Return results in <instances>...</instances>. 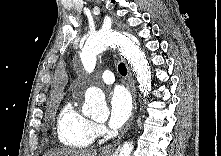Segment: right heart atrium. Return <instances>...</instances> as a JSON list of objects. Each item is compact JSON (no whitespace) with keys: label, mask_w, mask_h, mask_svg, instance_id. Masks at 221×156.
<instances>
[{"label":"right heart atrium","mask_w":221,"mask_h":156,"mask_svg":"<svg viewBox=\"0 0 221 156\" xmlns=\"http://www.w3.org/2000/svg\"><path fill=\"white\" fill-rule=\"evenodd\" d=\"M92 130H93L94 136H99L103 134L105 131L104 126L101 124H97V123H93Z\"/></svg>","instance_id":"d8ad5b80"}]
</instances>
